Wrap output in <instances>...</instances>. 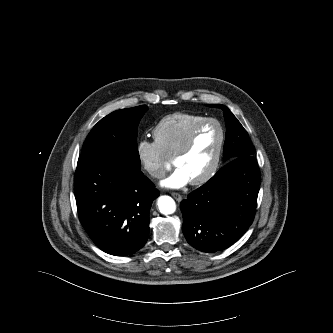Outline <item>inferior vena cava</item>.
Masks as SVG:
<instances>
[{"mask_svg": "<svg viewBox=\"0 0 333 333\" xmlns=\"http://www.w3.org/2000/svg\"><path fill=\"white\" fill-rule=\"evenodd\" d=\"M150 175L155 177V178L161 179V178L165 177V172L163 170H160V169L152 170V171H150Z\"/></svg>", "mask_w": 333, "mask_h": 333, "instance_id": "obj_1", "label": "inferior vena cava"}]
</instances>
